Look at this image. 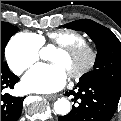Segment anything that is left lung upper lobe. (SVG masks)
<instances>
[{
	"mask_svg": "<svg viewBox=\"0 0 121 121\" xmlns=\"http://www.w3.org/2000/svg\"><path fill=\"white\" fill-rule=\"evenodd\" d=\"M84 31L95 42L98 54L92 71L80 78V83L101 81L121 90V42L106 27L89 19L77 20L64 25Z\"/></svg>",
	"mask_w": 121,
	"mask_h": 121,
	"instance_id": "obj_1",
	"label": "left lung upper lobe"
}]
</instances>
